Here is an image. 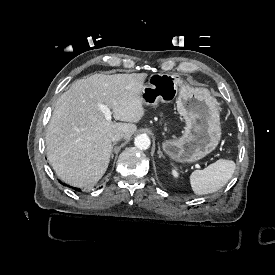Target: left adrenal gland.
Instances as JSON below:
<instances>
[{"label": "left adrenal gland", "instance_id": "1", "mask_svg": "<svg viewBox=\"0 0 275 275\" xmlns=\"http://www.w3.org/2000/svg\"><path fill=\"white\" fill-rule=\"evenodd\" d=\"M157 153L159 154V158H161V157L165 158V156L163 155V152L161 151L159 143H158V151H157Z\"/></svg>", "mask_w": 275, "mask_h": 275}]
</instances>
